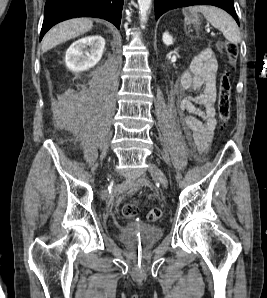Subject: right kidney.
<instances>
[{"mask_svg": "<svg viewBox=\"0 0 267 298\" xmlns=\"http://www.w3.org/2000/svg\"><path fill=\"white\" fill-rule=\"evenodd\" d=\"M104 47L105 39L100 35L81 38L66 51V66L73 72L89 70L102 58Z\"/></svg>", "mask_w": 267, "mask_h": 298, "instance_id": "1", "label": "right kidney"}]
</instances>
